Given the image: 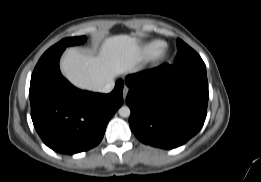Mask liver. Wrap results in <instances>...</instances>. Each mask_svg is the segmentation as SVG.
I'll return each mask as SVG.
<instances>
[{
	"label": "liver",
	"mask_w": 261,
	"mask_h": 182,
	"mask_svg": "<svg viewBox=\"0 0 261 182\" xmlns=\"http://www.w3.org/2000/svg\"><path fill=\"white\" fill-rule=\"evenodd\" d=\"M139 61L138 40L121 34L106 38L97 56L83 54L74 48L68 49L60 65L73 85L97 91L107 82L114 81L115 77L134 71Z\"/></svg>",
	"instance_id": "liver-1"
}]
</instances>
